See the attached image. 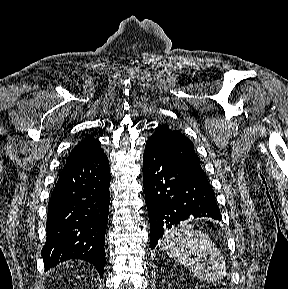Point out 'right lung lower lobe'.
Returning <instances> with one entry per match:
<instances>
[{"mask_svg":"<svg viewBox=\"0 0 288 289\" xmlns=\"http://www.w3.org/2000/svg\"><path fill=\"white\" fill-rule=\"evenodd\" d=\"M109 186L104 152L64 165L48 203L47 238L41 251L46 271L59 262L81 259L103 276Z\"/></svg>","mask_w":288,"mask_h":289,"instance_id":"1","label":"right lung lower lobe"}]
</instances>
